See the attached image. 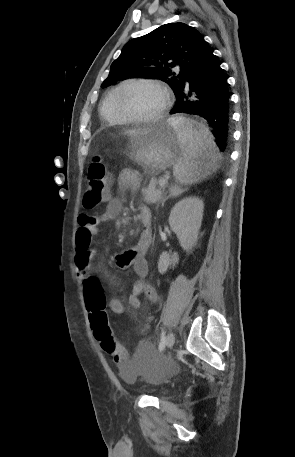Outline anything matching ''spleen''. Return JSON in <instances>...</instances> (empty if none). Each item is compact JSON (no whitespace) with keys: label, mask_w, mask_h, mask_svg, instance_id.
I'll return each mask as SVG.
<instances>
[{"label":"spleen","mask_w":295,"mask_h":457,"mask_svg":"<svg viewBox=\"0 0 295 457\" xmlns=\"http://www.w3.org/2000/svg\"><path fill=\"white\" fill-rule=\"evenodd\" d=\"M168 122L178 133L182 155L173 175L182 184L199 182L218 167L221 159L213 136L203 124L184 117H172Z\"/></svg>","instance_id":"obj_1"}]
</instances>
